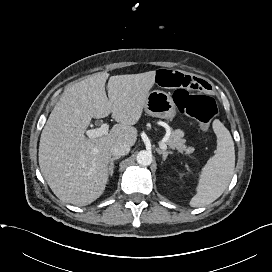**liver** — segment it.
I'll use <instances>...</instances> for the list:
<instances>
[{
  "label": "liver",
  "instance_id": "liver-1",
  "mask_svg": "<svg viewBox=\"0 0 272 272\" xmlns=\"http://www.w3.org/2000/svg\"><path fill=\"white\" fill-rule=\"evenodd\" d=\"M98 72L69 86L52 110L40 137L39 166L53 193L63 202L85 206L99 198L108 182L111 148L133 146L156 72L116 75ZM112 113L115 124L105 136L87 138L92 118Z\"/></svg>",
  "mask_w": 272,
  "mask_h": 272
}]
</instances>
